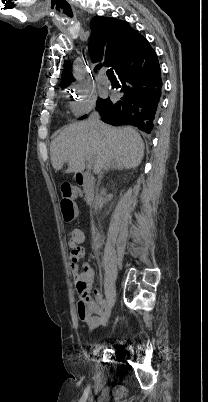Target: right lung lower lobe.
I'll return each mask as SVG.
<instances>
[{"label": "right lung lower lobe", "mask_w": 208, "mask_h": 402, "mask_svg": "<svg viewBox=\"0 0 208 402\" xmlns=\"http://www.w3.org/2000/svg\"><path fill=\"white\" fill-rule=\"evenodd\" d=\"M124 93L116 103L97 108L103 122L111 125H133L150 133L159 108L162 80L157 55L140 34L129 50L118 60L116 70Z\"/></svg>", "instance_id": "98d812e1"}]
</instances>
